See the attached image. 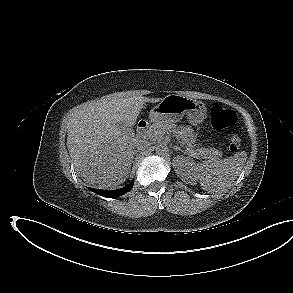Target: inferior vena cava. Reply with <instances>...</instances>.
Segmentation results:
<instances>
[{"label":"inferior vena cava","mask_w":293,"mask_h":293,"mask_svg":"<svg viewBox=\"0 0 293 293\" xmlns=\"http://www.w3.org/2000/svg\"><path fill=\"white\" fill-rule=\"evenodd\" d=\"M148 147V142L145 140H136L135 145H134V151L140 152L144 151Z\"/></svg>","instance_id":"1"}]
</instances>
